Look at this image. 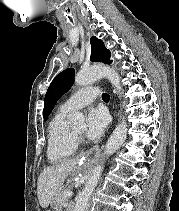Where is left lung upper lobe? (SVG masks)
I'll return each mask as SVG.
<instances>
[{
	"label": "left lung upper lobe",
	"instance_id": "5c2ea615",
	"mask_svg": "<svg viewBox=\"0 0 179 211\" xmlns=\"http://www.w3.org/2000/svg\"><path fill=\"white\" fill-rule=\"evenodd\" d=\"M109 57L110 52L105 48L103 42L96 37H92L91 61L110 64L111 61L109 60ZM74 73V69L68 68L58 74L50 84L44 100V120H47V117L57 100L71 88L74 82Z\"/></svg>",
	"mask_w": 179,
	"mask_h": 211
}]
</instances>
